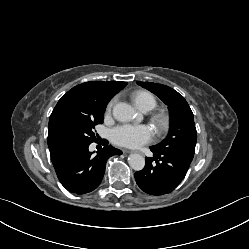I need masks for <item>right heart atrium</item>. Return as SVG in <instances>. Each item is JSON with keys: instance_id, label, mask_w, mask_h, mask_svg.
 <instances>
[{"instance_id": "d8ad5b80", "label": "right heart atrium", "mask_w": 249, "mask_h": 249, "mask_svg": "<svg viewBox=\"0 0 249 249\" xmlns=\"http://www.w3.org/2000/svg\"><path fill=\"white\" fill-rule=\"evenodd\" d=\"M113 104H114V101H111V102L108 104V106H107V113H109V112L111 111Z\"/></svg>"}]
</instances>
